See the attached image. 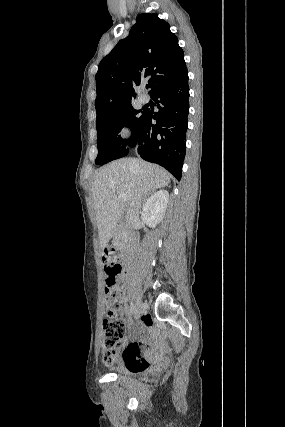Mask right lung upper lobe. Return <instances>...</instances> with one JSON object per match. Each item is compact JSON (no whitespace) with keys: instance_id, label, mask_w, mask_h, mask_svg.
Returning <instances> with one entry per match:
<instances>
[{"instance_id":"obj_1","label":"right lung upper lobe","mask_w":285,"mask_h":427,"mask_svg":"<svg viewBox=\"0 0 285 427\" xmlns=\"http://www.w3.org/2000/svg\"><path fill=\"white\" fill-rule=\"evenodd\" d=\"M184 53L169 24L141 14L127 38L104 57L96 73V124L131 106L134 87L148 78L150 95L186 71Z\"/></svg>"}]
</instances>
